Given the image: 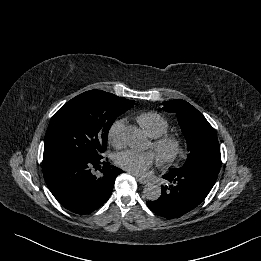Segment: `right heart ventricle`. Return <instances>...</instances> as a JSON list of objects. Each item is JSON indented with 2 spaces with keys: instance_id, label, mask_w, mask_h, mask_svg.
<instances>
[{
  "instance_id": "e07e8e85",
  "label": "right heart ventricle",
  "mask_w": 261,
  "mask_h": 261,
  "mask_svg": "<svg viewBox=\"0 0 261 261\" xmlns=\"http://www.w3.org/2000/svg\"><path fill=\"white\" fill-rule=\"evenodd\" d=\"M136 120L151 138H157L167 133L169 128L167 120L161 114L154 111L141 113L136 117Z\"/></svg>"
}]
</instances>
